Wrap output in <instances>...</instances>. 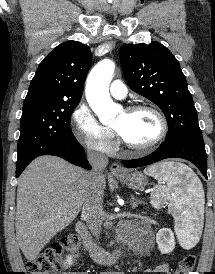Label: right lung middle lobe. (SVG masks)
I'll return each instance as SVG.
<instances>
[{
    "mask_svg": "<svg viewBox=\"0 0 215 274\" xmlns=\"http://www.w3.org/2000/svg\"><path fill=\"white\" fill-rule=\"evenodd\" d=\"M78 102L35 100L24 102L20 119L18 158L22 164L48 148L75 143L70 117Z\"/></svg>",
    "mask_w": 215,
    "mask_h": 274,
    "instance_id": "right-lung-middle-lobe-1",
    "label": "right lung middle lobe"
}]
</instances>
